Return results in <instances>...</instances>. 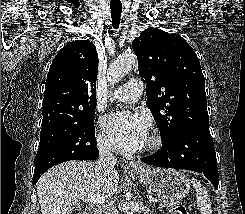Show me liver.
I'll return each instance as SVG.
<instances>
[{
    "label": "liver",
    "instance_id": "obj_1",
    "mask_svg": "<svg viewBox=\"0 0 245 214\" xmlns=\"http://www.w3.org/2000/svg\"><path fill=\"white\" fill-rule=\"evenodd\" d=\"M119 183L118 172L98 169L91 161H69L46 171L37 183L42 214H71L81 195L111 197Z\"/></svg>",
    "mask_w": 245,
    "mask_h": 214
}]
</instances>
